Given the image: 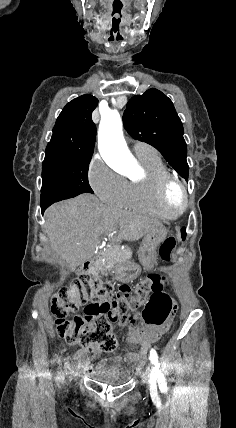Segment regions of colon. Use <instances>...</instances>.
I'll return each instance as SVG.
<instances>
[{"instance_id":"colon-1","label":"colon","mask_w":236,"mask_h":428,"mask_svg":"<svg viewBox=\"0 0 236 428\" xmlns=\"http://www.w3.org/2000/svg\"><path fill=\"white\" fill-rule=\"evenodd\" d=\"M175 246L174 236L163 241L159 248L163 261H171ZM166 284L165 277L152 274L134 287L121 285L114 291L108 283L80 276L74 285L78 292L76 299H70L68 289L60 290L51 298L57 333L68 344L80 346L86 352H112L117 345L113 324L119 318L130 319V312L139 308L147 297L149 300L142 311L143 322L167 328L176 313V305L163 292ZM80 308L82 314L74 315Z\"/></svg>"}]
</instances>
